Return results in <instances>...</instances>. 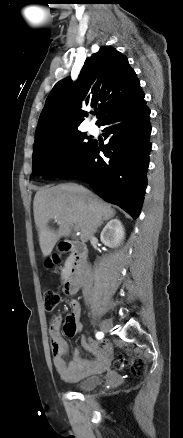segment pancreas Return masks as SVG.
Wrapping results in <instances>:
<instances>
[{
    "mask_svg": "<svg viewBox=\"0 0 183 438\" xmlns=\"http://www.w3.org/2000/svg\"><path fill=\"white\" fill-rule=\"evenodd\" d=\"M66 271H67V268H65V269L63 270V272H62V278H63V279L66 277Z\"/></svg>",
    "mask_w": 183,
    "mask_h": 438,
    "instance_id": "obj_1",
    "label": "pancreas"
}]
</instances>
